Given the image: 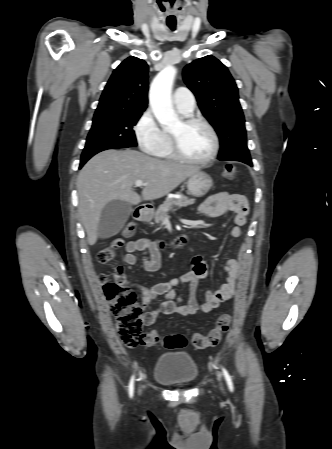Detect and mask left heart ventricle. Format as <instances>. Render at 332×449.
Segmentation results:
<instances>
[{
	"label": "left heart ventricle",
	"mask_w": 332,
	"mask_h": 449,
	"mask_svg": "<svg viewBox=\"0 0 332 449\" xmlns=\"http://www.w3.org/2000/svg\"><path fill=\"white\" fill-rule=\"evenodd\" d=\"M170 133L175 135L182 151L193 158H205L212 150L208 130L200 124L184 125L179 121Z\"/></svg>",
	"instance_id": "left-heart-ventricle-1"
}]
</instances>
